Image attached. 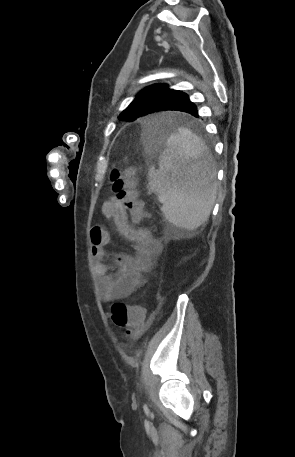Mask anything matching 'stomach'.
<instances>
[{
	"instance_id": "stomach-1",
	"label": "stomach",
	"mask_w": 295,
	"mask_h": 457,
	"mask_svg": "<svg viewBox=\"0 0 295 457\" xmlns=\"http://www.w3.org/2000/svg\"><path fill=\"white\" fill-rule=\"evenodd\" d=\"M161 146L166 147L167 145L165 144V142H162Z\"/></svg>"
}]
</instances>
